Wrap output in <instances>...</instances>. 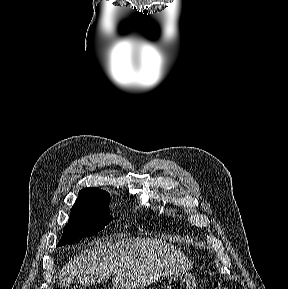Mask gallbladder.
<instances>
[{
    "label": "gallbladder",
    "instance_id": "obj_1",
    "mask_svg": "<svg viewBox=\"0 0 288 289\" xmlns=\"http://www.w3.org/2000/svg\"><path fill=\"white\" fill-rule=\"evenodd\" d=\"M61 286H63V287L68 286V282L62 281Z\"/></svg>",
    "mask_w": 288,
    "mask_h": 289
}]
</instances>
